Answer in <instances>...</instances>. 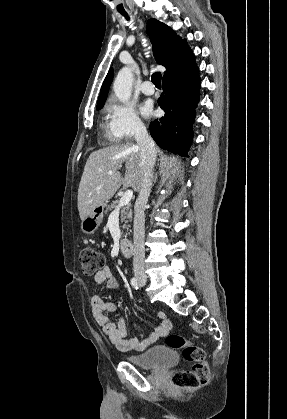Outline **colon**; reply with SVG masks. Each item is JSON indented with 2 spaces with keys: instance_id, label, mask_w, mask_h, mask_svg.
I'll return each mask as SVG.
<instances>
[{
  "instance_id": "colon-1",
  "label": "colon",
  "mask_w": 287,
  "mask_h": 419,
  "mask_svg": "<svg viewBox=\"0 0 287 419\" xmlns=\"http://www.w3.org/2000/svg\"><path fill=\"white\" fill-rule=\"evenodd\" d=\"M79 259L86 275H93L105 268L104 255L94 248L82 249ZM165 343L172 349L180 350L185 361L192 363L190 370L178 371L171 376L174 387L194 389L208 382L209 366L205 351L199 345L177 334L167 335Z\"/></svg>"
}]
</instances>
